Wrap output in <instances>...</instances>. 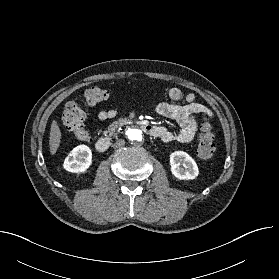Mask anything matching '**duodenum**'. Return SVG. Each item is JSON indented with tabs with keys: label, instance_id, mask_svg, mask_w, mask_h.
Segmentation results:
<instances>
[{
	"label": "duodenum",
	"instance_id": "duodenum-1",
	"mask_svg": "<svg viewBox=\"0 0 279 279\" xmlns=\"http://www.w3.org/2000/svg\"><path fill=\"white\" fill-rule=\"evenodd\" d=\"M127 123L128 120H123L120 124L124 125ZM138 124L141 127V129L147 134L155 136L158 132L155 126H152L146 121L139 120ZM109 147H110V139L107 137L99 138L96 142V149L99 152H106L109 149Z\"/></svg>",
	"mask_w": 279,
	"mask_h": 279
}]
</instances>
